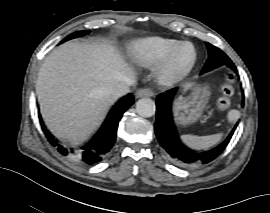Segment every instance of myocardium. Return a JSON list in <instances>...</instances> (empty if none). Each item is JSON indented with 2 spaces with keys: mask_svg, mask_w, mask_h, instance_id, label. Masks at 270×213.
<instances>
[{
  "mask_svg": "<svg viewBox=\"0 0 270 213\" xmlns=\"http://www.w3.org/2000/svg\"><path fill=\"white\" fill-rule=\"evenodd\" d=\"M188 45L191 48L192 54L190 59L179 64L176 60V54L180 47ZM197 51L195 46L189 41L177 42L160 61L156 69V76L160 83L164 85H174L184 80L192 71L196 64Z\"/></svg>",
  "mask_w": 270,
  "mask_h": 213,
  "instance_id": "myocardium-1",
  "label": "myocardium"
}]
</instances>
